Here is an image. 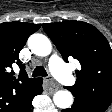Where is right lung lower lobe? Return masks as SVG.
Listing matches in <instances>:
<instances>
[{"label":"right lung lower lobe","instance_id":"98d812e1","mask_svg":"<svg viewBox=\"0 0 112 112\" xmlns=\"http://www.w3.org/2000/svg\"><path fill=\"white\" fill-rule=\"evenodd\" d=\"M43 92L42 81L36 86L34 91L30 94L25 104L23 105L20 112H33L32 100L36 95H39Z\"/></svg>","mask_w":112,"mask_h":112}]
</instances>
